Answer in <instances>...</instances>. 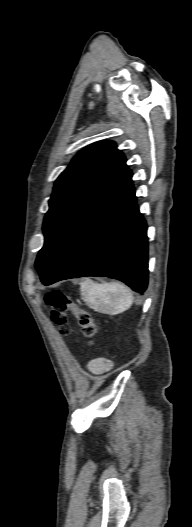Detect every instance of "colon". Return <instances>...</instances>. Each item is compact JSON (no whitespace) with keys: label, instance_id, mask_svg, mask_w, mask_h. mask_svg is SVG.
Returning <instances> with one entry per match:
<instances>
[{"label":"colon","instance_id":"colon-1","mask_svg":"<svg viewBox=\"0 0 192 527\" xmlns=\"http://www.w3.org/2000/svg\"><path fill=\"white\" fill-rule=\"evenodd\" d=\"M45 301L50 307L52 320L59 326L61 333L69 334L71 332L67 314L72 312L78 320L81 334L88 340H93L98 327L88 311L77 307L68 296L59 290L48 292Z\"/></svg>","mask_w":192,"mask_h":527}]
</instances>
